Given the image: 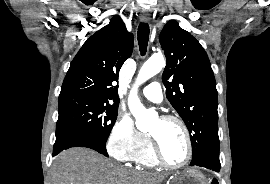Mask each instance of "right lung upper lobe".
<instances>
[{"instance_id":"1","label":"right lung upper lobe","mask_w":270,"mask_h":184,"mask_svg":"<svg viewBox=\"0 0 270 184\" xmlns=\"http://www.w3.org/2000/svg\"><path fill=\"white\" fill-rule=\"evenodd\" d=\"M133 35L115 15L110 23L87 39L65 76L59 99L87 97L118 105L119 70L132 54Z\"/></svg>"}]
</instances>
